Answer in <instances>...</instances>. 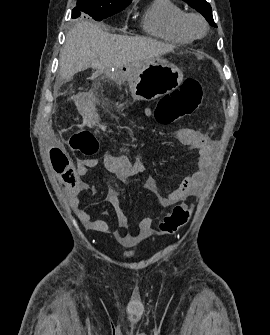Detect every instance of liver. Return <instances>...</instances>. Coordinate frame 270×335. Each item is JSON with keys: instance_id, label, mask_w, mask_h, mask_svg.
<instances>
[{"instance_id": "liver-1", "label": "liver", "mask_w": 270, "mask_h": 335, "mask_svg": "<svg viewBox=\"0 0 270 335\" xmlns=\"http://www.w3.org/2000/svg\"><path fill=\"white\" fill-rule=\"evenodd\" d=\"M172 50L171 44L152 38L109 34L91 22H77L66 34L60 54V76L68 80L87 68H97L101 72L129 68L130 76H136L150 60Z\"/></svg>"}]
</instances>
